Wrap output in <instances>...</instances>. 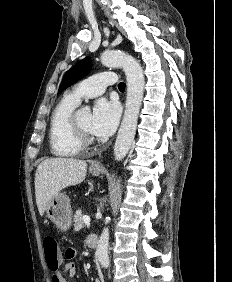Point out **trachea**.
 <instances>
[{"mask_svg": "<svg viewBox=\"0 0 232 282\" xmlns=\"http://www.w3.org/2000/svg\"><path fill=\"white\" fill-rule=\"evenodd\" d=\"M125 86H126L125 83L121 82V83L118 84V89L119 90H125Z\"/></svg>", "mask_w": 232, "mask_h": 282, "instance_id": "obj_1", "label": "trachea"}]
</instances>
